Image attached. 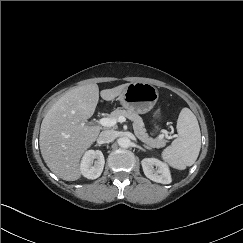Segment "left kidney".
<instances>
[{
  "label": "left kidney",
  "instance_id": "obj_1",
  "mask_svg": "<svg viewBox=\"0 0 243 243\" xmlns=\"http://www.w3.org/2000/svg\"><path fill=\"white\" fill-rule=\"evenodd\" d=\"M141 164L145 176L150 180L161 184H169L171 182L169 168L162 161L155 158H145L141 161Z\"/></svg>",
  "mask_w": 243,
  "mask_h": 243
}]
</instances>
